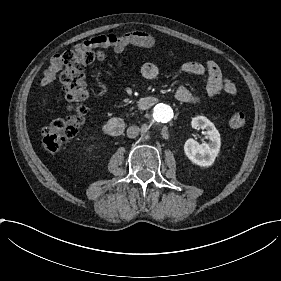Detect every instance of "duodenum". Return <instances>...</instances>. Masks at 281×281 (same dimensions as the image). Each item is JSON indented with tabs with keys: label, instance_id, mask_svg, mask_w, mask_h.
<instances>
[{
	"label": "duodenum",
	"instance_id": "duodenum-1",
	"mask_svg": "<svg viewBox=\"0 0 281 281\" xmlns=\"http://www.w3.org/2000/svg\"><path fill=\"white\" fill-rule=\"evenodd\" d=\"M158 101V98L154 96H145L138 99L136 106L139 110H147L157 104ZM124 129L125 122L119 117L111 118L103 126L104 132L110 136H119L123 133Z\"/></svg>",
	"mask_w": 281,
	"mask_h": 281
}]
</instances>
